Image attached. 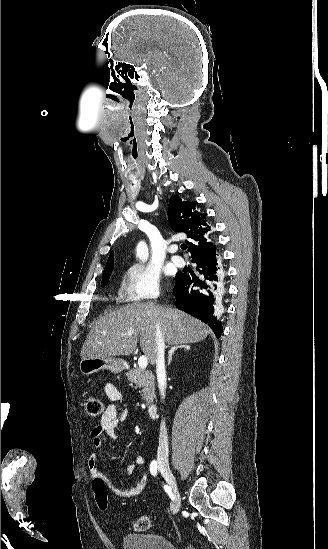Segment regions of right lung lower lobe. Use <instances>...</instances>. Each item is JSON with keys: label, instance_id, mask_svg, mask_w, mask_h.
I'll return each mask as SVG.
<instances>
[{"label": "right lung lower lobe", "instance_id": "obj_1", "mask_svg": "<svg viewBox=\"0 0 328 549\" xmlns=\"http://www.w3.org/2000/svg\"><path fill=\"white\" fill-rule=\"evenodd\" d=\"M195 273H179L173 290L177 308L208 324L219 338L223 327L215 311L218 291L222 286L221 265L215 253L192 259Z\"/></svg>", "mask_w": 328, "mask_h": 549}]
</instances>
